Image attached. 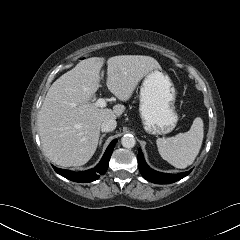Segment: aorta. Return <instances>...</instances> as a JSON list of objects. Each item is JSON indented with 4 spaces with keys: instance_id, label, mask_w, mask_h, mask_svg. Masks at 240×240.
Listing matches in <instances>:
<instances>
[{
    "instance_id": "obj_1",
    "label": "aorta",
    "mask_w": 240,
    "mask_h": 240,
    "mask_svg": "<svg viewBox=\"0 0 240 240\" xmlns=\"http://www.w3.org/2000/svg\"><path fill=\"white\" fill-rule=\"evenodd\" d=\"M135 138L130 134H126L121 138V144L124 148H133L135 146Z\"/></svg>"
}]
</instances>
